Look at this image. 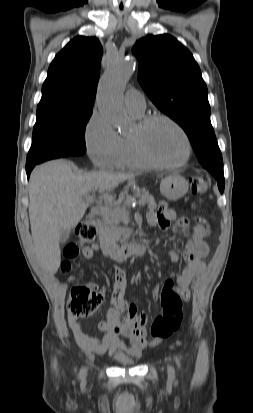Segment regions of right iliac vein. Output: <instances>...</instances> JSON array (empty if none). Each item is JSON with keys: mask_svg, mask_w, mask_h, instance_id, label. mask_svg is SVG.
I'll list each match as a JSON object with an SVG mask.
<instances>
[{"mask_svg": "<svg viewBox=\"0 0 253 413\" xmlns=\"http://www.w3.org/2000/svg\"><path fill=\"white\" fill-rule=\"evenodd\" d=\"M86 368L82 371V376H84L86 374Z\"/></svg>", "mask_w": 253, "mask_h": 413, "instance_id": "1", "label": "right iliac vein"}]
</instances>
